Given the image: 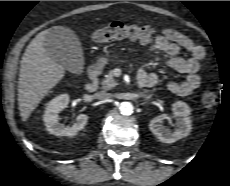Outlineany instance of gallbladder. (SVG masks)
<instances>
[{
  "instance_id": "obj_1",
  "label": "gallbladder",
  "mask_w": 230,
  "mask_h": 186,
  "mask_svg": "<svg viewBox=\"0 0 230 186\" xmlns=\"http://www.w3.org/2000/svg\"><path fill=\"white\" fill-rule=\"evenodd\" d=\"M50 57L71 73L83 69V51L76 34L69 28L54 26L48 30L44 41Z\"/></svg>"
}]
</instances>
